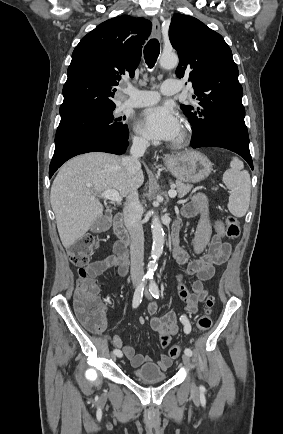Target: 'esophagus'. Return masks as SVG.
<instances>
[{
	"instance_id": "1",
	"label": "esophagus",
	"mask_w": 283,
	"mask_h": 434,
	"mask_svg": "<svg viewBox=\"0 0 283 434\" xmlns=\"http://www.w3.org/2000/svg\"><path fill=\"white\" fill-rule=\"evenodd\" d=\"M152 31H153V35L155 38L160 39L161 38V31H160V23L158 21V19L154 18L152 20ZM164 160H169L170 156L169 155H164L163 157Z\"/></svg>"
}]
</instances>
